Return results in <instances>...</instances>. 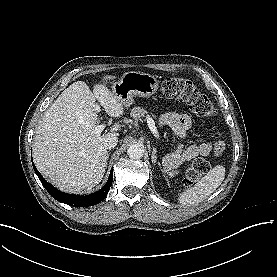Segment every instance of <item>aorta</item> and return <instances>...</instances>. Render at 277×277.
I'll list each match as a JSON object with an SVG mask.
<instances>
[{
    "label": "aorta",
    "instance_id": "aorta-1",
    "mask_svg": "<svg viewBox=\"0 0 277 277\" xmlns=\"http://www.w3.org/2000/svg\"><path fill=\"white\" fill-rule=\"evenodd\" d=\"M144 145L141 143H133L127 149V155L132 159H140L144 155Z\"/></svg>",
    "mask_w": 277,
    "mask_h": 277
}]
</instances>
